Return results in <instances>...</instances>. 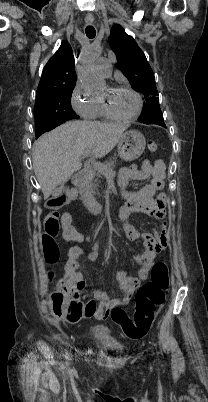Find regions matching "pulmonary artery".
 Masks as SVG:
<instances>
[{
	"label": "pulmonary artery",
	"mask_w": 208,
	"mask_h": 402,
	"mask_svg": "<svg viewBox=\"0 0 208 402\" xmlns=\"http://www.w3.org/2000/svg\"><path fill=\"white\" fill-rule=\"evenodd\" d=\"M91 53L98 51L97 46H93L90 49ZM108 59L105 57H99L93 64V70L103 77L109 76Z\"/></svg>",
	"instance_id": "1"
}]
</instances>
